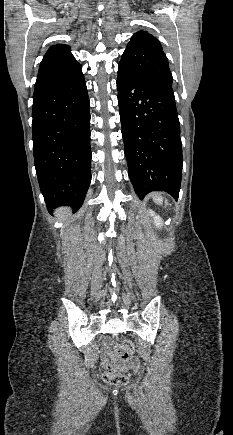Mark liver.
<instances>
[{"label":"liver","mask_w":233,"mask_h":435,"mask_svg":"<svg viewBox=\"0 0 233 435\" xmlns=\"http://www.w3.org/2000/svg\"><path fill=\"white\" fill-rule=\"evenodd\" d=\"M59 214H60L61 216L65 217L66 214H67V210L62 209V210L59 211Z\"/></svg>","instance_id":"liver-1"}]
</instances>
